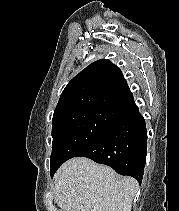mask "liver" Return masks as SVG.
Wrapping results in <instances>:
<instances>
[{
    "instance_id": "1",
    "label": "liver",
    "mask_w": 179,
    "mask_h": 211,
    "mask_svg": "<svg viewBox=\"0 0 179 211\" xmlns=\"http://www.w3.org/2000/svg\"><path fill=\"white\" fill-rule=\"evenodd\" d=\"M139 185L105 165L76 157L54 176L55 203L61 211H131Z\"/></svg>"
}]
</instances>
